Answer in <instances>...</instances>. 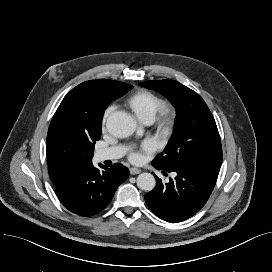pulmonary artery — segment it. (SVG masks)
Listing matches in <instances>:
<instances>
[{
  "instance_id": "1",
  "label": "pulmonary artery",
  "mask_w": 272,
  "mask_h": 272,
  "mask_svg": "<svg viewBox=\"0 0 272 272\" xmlns=\"http://www.w3.org/2000/svg\"><path fill=\"white\" fill-rule=\"evenodd\" d=\"M151 122H146L145 124H150ZM125 153V148L123 146H114L109 148L100 149L95 153V158L97 161L102 162L106 160H116L122 157Z\"/></svg>"
}]
</instances>
